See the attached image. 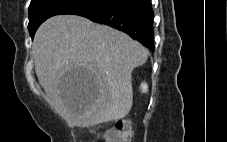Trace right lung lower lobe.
<instances>
[{
  "label": "right lung lower lobe",
  "instance_id": "right-lung-lower-lobe-1",
  "mask_svg": "<svg viewBox=\"0 0 227 142\" xmlns=\"http://www.w3.org/2000/svg\"><path fill=\"white\" fill-rule=\"evenodd\" d=\"M78 15L123 31L154 50L151 0H109Z\"/></svg>",
  "mask_w": 227,
  "mask_h": 142
}]
</instances>
